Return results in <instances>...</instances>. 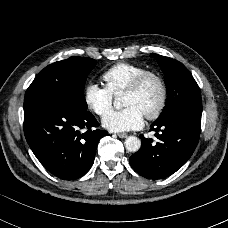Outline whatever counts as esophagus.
<instances>
[{"label": "esophagus", "instance_id": "esophagus-1", "mask_svg": "<svg viewBox=\"0 0 228 228\" xmlns=\"http://www.w3.org/2000/svg\"><path fill=\"white\" fill-rule=\"evenodd\" d=\"M119 138H126L128 135L126 133H117Z\"/></svg>", "mask_w": 228, "mask_h": 228}]
</instances>
